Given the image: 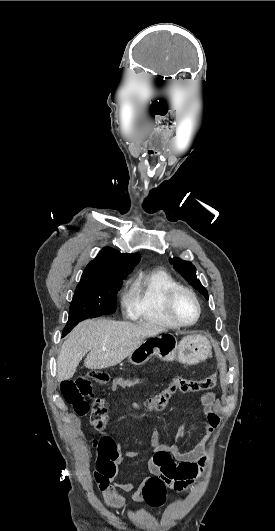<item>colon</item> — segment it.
<instances>
[{
  "label": "colon",
  "mask_w": 275,
  "mask_h": 531,
  "mask_svg": "<svg viewBox=\"0 0 275 531\" xmlns=\"http://www.w3.org/2000/svg\"><path fill=\"white\" fill-rule=\"evenodd\" d=\"M218 368H222L221 362ZM90 378L96 382H106L108 376L105 372H92ZM216 375L212 374L204 378L176 377L170 381H161L159 391H154L152 396L143 404L150 411L162 410L176 393H201L209 392L216 387ZM60 391L66 401L73 407L79 416H85L90 408L85 398L93 400L92 425L101 431L107 424V414L103 408L102 401H106V396H93L92 385L87 377H79L76 380H68L60 386ZM149 482L141 489L140 494L147 501L146 506L151 509H158L166 499L165 485L158 480L156 475L149 477Z\"/></svg>",
  "instance_id": "1"
}]
</instances>
